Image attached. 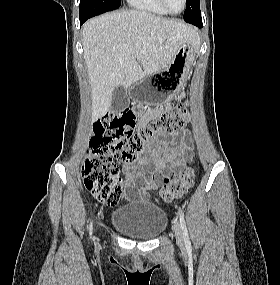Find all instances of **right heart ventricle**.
Listing matches in <instances>:
<instances>
[{
  "mask_svg": "<svg viewBox=\"0 0 280 285\" xmlns=\"http://www.w3.org/2000/svg\"><path fill=\"white\" fill-rule=\"evenodd\" d=\"M129 4L139 10L158 15L169 14L162 6L160 0H128Z\"/></svg>",
  "mask_w": 280,
  "mask_h": 285,
  "instance_id": "e07e8e85",
  "label": "right heart ventricle"
}]
</instances>
